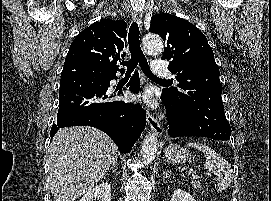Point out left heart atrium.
<instances>
[{"label": "left heart atrium", "mask_w": 271, "mask_h": 201, "mask_svg": "<svg viewBox=\"0 0 271 201\" xmlns=\"http://www.w3.org/2000/svg\"><path fill=\"white\" fill-rule=\"evenodd\" d=\"M143 99L145 102L151 104V105H154V102H153V99H152V95L149 91H146L144 94H143Z\"/></svg>", "instance_id": "39dd6f15"}]
</instances>
